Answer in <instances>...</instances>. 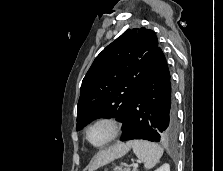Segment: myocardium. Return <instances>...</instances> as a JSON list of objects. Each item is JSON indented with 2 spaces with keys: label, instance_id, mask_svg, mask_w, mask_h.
<instances>
[{
  "label": "myocardium",
  "instance_id": "f54148a6",
  "mask_svg": "<svg viewBox=\"0 0 223 171\" xmlns=\"http://www.w3.org/2000/svg\"><path fill=\"white\" fill-rule=\"evenodd\" d=\"M100 124H105L107 126H109V128L111 129V134L110 136L107 138V140H105L103 143L101 144H94L90 138H89V134L90 131L97 125ZM121 132V123L120 121L112 116H101L96 118L95 120H93L87 127L85 130V139L87 141L88 144H90L92 147L97 148V149H101L106 147L107 145H109L110 143H112L120 134Z\"/></svg>",
  "mask_w": 223,
  "mask_h": 171
}]
</instances>
